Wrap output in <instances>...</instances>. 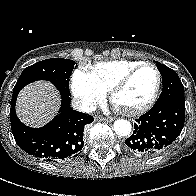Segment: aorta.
I'll list each match as a JSON object with an SVG mask.
<instances>
[{
    "label": "aorta",
    "mask_w": 196,
    "mask_h": 196,
    "mask_svg": "<svg viewBox=\"0 0 196 196\" xmlns=\"http://www.w3.org/2000/svg\"><path fill=\"white\" fill-rule=\"evenodd\" d=\"M132 126L128 120L118 119L114 122V131L119 136H128L131 132Z\"/></svg>",
    "instance_id": "762f6f07"
}]
</instances>
